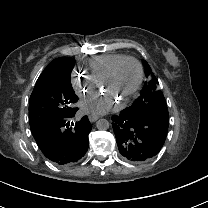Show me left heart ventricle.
Instances as JSON below:
<instances>
[{
    "instance_id": "1",
    "label": "left heart ventricle",
    "mask_w": 208,
    "mask_h": 208,
    "mask_svg": "<svg viewBox=\"0 0 208 208\" xmlns=\"http://www.w3.org/2000/svg\"><path fill=\"white\" fill-rule=\"evenodd\" d=\"M137 79L138 69L135 63L129 60L122 62L112 82L105 86L108 93L103 99L112 101L114 99L125 98L135 86ZM94 98L96 99V95Z\"/></svg>"
}]
</instances>
